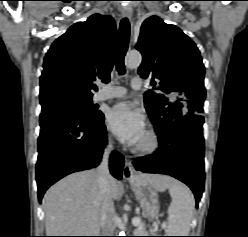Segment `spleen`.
Instances as JSON below:
<instances>
[{
  "instance_id": "obj_1",
  "label": "spleen",
  "mask_w": 248,
  "mask_h": 237,
  "mask_svg": "<svg viewBox=\"0 0 248 237\" xmlns=\"http://www.w3.org/2000/svg\"><path fill=\"white\" fill-rule=\"evenodd\" d=\"M168 188L172 201L168 208L167 234L188 236L195 206L194 198L189 189L178 181L170 182Z\"/></svg>"
}]
</instances>
